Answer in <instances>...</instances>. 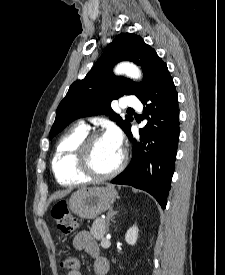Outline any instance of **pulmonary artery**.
Returning a JSON list of instances; mask_svg holds the SVG:
<instances>
[{
    "label": "pulmonary artery",
    "mask_w": 225,
    "mask_h": 275,
    "mask_svg": "<svg viewBox=\"0 0 225 275\" xmlns=\"http://www.w3.org/2000/svg\"><path fill=\"white\" fill-rule=\"evenodd\" d=\"M122 106L128 107V108H140L141 103L136 97L128 96V97H125L122 103Z\"/></svg>",
    "instance_id": "1"
}]
</instances>
